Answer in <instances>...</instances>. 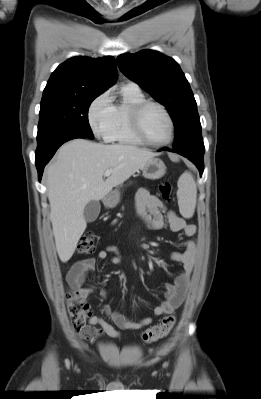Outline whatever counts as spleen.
<instances>
[{
	"mask_svg": "<svg viewBox=\"0 0 261 399\" xmlns=\"http://www.w3.org/2000/svg\"><path fill=\"white\" fill-rule=\"evenodd\" d=\"M197 187L189 172L183 173L178 180V205L184 218H191L196 206Z\"/></svg>",
	"mask_w": 261,
	"mask_h": 399,
	"instance_id": "obj_1",
	"label": "spleen"
}]
</instances>
